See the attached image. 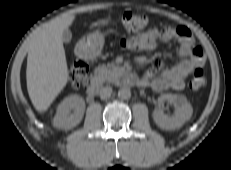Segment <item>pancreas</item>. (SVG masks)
<instances>
[{"mask_svg":"<svg viewBox=\"0 0 231 170\" xmlns=\"http://www.w3.org/2000/svg\"><path fill=\"white\" fill-rule=\"evenodd\" d=\"M118 67H116L113 63L110 64H102L95 69L94 77L101 81H111L116 76V72Z\"/></svg>","mask_w":231,"mask_h":170,"instance_id":"1","label":"pancreas"}]
</instances>
